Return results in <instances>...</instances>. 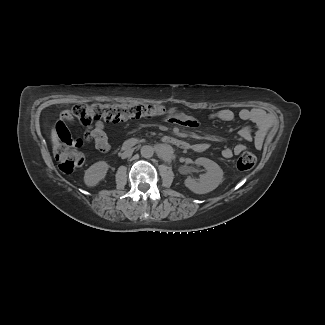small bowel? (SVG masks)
I'll use <instances>...</instances> for the list:
<instances>
[{
    "label": "small bowel",
    "instance_id": "obj_1",
    "mask_svg": "<svg viewBox=\"0 0 325 325\" xmlns=\"http://www.w3.org/2000/svg\"><path fill=\"white\" fill-rule=\"evenodd\" d=\"M68 113L69 110H65L62 116L65 117ZM238 117L243 121L253 122L257 126L260 135L264 133L270 121L269 116L260 109H242L239 111ZM235 118L236 114L230 109H221L211 114V119L219 122H231ZM183 125L193 128L198 126V122L195 119H189V121ZM56 132L59 135V141L68 147L75 146L84 148L86 145H90L93 142L95 148L102 153L109 152L111 148L105 132V125L100 120L96 121L93 127H88L87 133L83 136L73 137L69 135L67 123L64 120H59L56 123ZM241 137L249 140L251 137V130L249 128L242 129ZM245 148L243 144H237L233 148H225L222 150V156L225 159H230L234 155L240 154ZM192 149L196 152H204L208 149V144L196 143L192 145Z\"/></svg>",
    "mask_w": 325,
    "mask_h": 325
}]
</instances>
